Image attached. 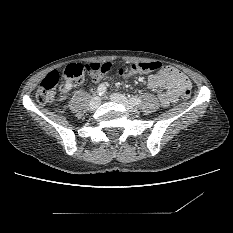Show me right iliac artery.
<instances>
[{
    "mask_svg": "<svg viewBox=\"0 0 233 233\" xmlns=\"http://www.w3.org/2000/svg\"><path fill=\"white\" fill-rule=\"evenodd\" d=\"M105 92H106V86L104 84H101L97 89V93L99 96H102Z\"/></svg>",
    "mask_w": 233,
    "mask_h": 233,
    "instance_id": "82829eb1",
    "label": "right iliac artery"
}]
</instances>
